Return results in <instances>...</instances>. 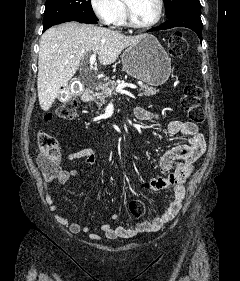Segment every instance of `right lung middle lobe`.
Instances as JSON below:
<instances>
[{
    "label": "right lung middle lobe",
    "instance_id": "obj_1",
    "mask_svg": "<svg viewBox=\"0 0 240 281\" xmlns=\"http://www.w3.org/2000/svg\"><path fill=\"white\" fill-rule=\"evenodd\" d=\"M43 28L65 20H97L91 0H46Z\"/></svg>",
    "mask_w": 240,
    "mask_h": 281
}]
</instances>
